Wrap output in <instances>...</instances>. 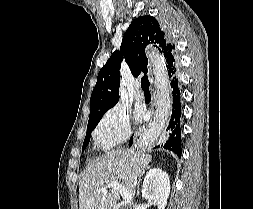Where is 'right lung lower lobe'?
<instances>
[{"mask_svg":"<svg viewBox=\"0 0 253 209\" xmlns=\"http://www.w3.org/2000/svg\"><path fill=\"white\" fill-rule=\"evenodd\" d=\"M169 78L172 89V111L170 117L160 131L158 136L159 145L156 147H162L171 150L181 157V101L178 79L176 77V69L169 73ZM132 143L133 138L131 137L129 145L131 146Z\"/></svg>","mask_w":253,"mask_h":209,"instance_id":"98d812e1","label":"right lung lower lobe"}]
</instances>
